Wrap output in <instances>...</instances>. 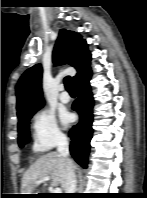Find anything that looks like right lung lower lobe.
<instances>
[{
    "label": "right lung lower lobe",
    "mask_w": 147,
    "mask_h": 198,
    "mask_svg": "<svg viewBox=\"0 0 147 198\" xmlns=\"http://www.w3.org/2000/svg\"><path fill=\"white\" fill-rule=\"evenodd\" d=\"M90 78L91 70L75 81L78 98L73 103L72 109L79 114V122L69 132L71 137L70 153L83 168H87L90 140L93 132V97L89 85Z\"/></svg>",
    "instance_id": "right-lung-lower-lobe-1"
}]
</instances>
